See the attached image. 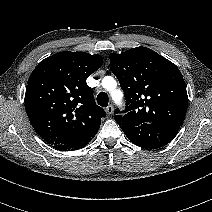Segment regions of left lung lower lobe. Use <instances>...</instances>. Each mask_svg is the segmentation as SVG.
Here are the masks:
<instances>
[{
  "mask_svg": "<svg viewBox=\"0 0 212 212\" xmlns=\"http://www.w3.org/2000/svg\"><path fill=\"white\" fill-rule=\"evenodd\" d=\"M180 126L166 123H143L123 130L135 145L156 149L167 145L178 133Z\"/></svg>",
  "mask_w": 212,
  "mask_h": 212,
  "instance_id": "0a47b994",
  "label": "left lung lower lobe"
}]
</instances>
